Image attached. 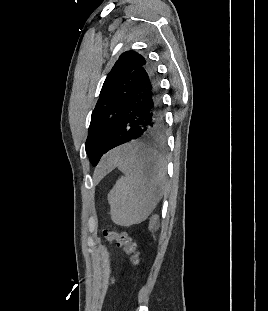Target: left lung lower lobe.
Here are the masks:
<instances>
[{"mask_svg": "<svg viewBox=\"0 0 268 311\" xmlns=\"http://www.w3.org/2000/svg\"><path fill=\"white\" fill-rule=\"evenodd\" d=\"M165 119L158 73L147 61L138 71L120 128L105 153L127 142L165 141Z\"/></svg>", "mask_w": 268, "mask_h": 311, "instance_id": "left-lung-lower-lobe-1", "label": "left lung lower lobe"}]
</instances>
